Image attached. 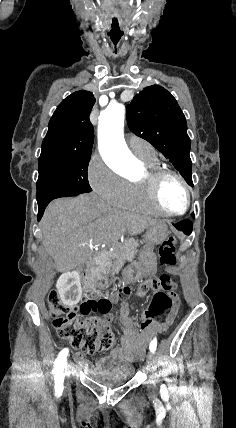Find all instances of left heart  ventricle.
Here are the masks:
<instances>
[{
  "label": "left heart ventricle",
  "mask_w": 236,
  "mask_h": 428,
  "mask_svg": "<svg viewBox=\"0 0 236 428\" xmlns=\"http://www.w3.org/2000/svg\"><path fill=\"white\" fill-rule=\"evenodd\" d=\"M165 205L172 210H182L186 203V194L182 185L174 180H166L161 188Z\"/></svg>",
  "instance_id": "1"
}]
</instances>
